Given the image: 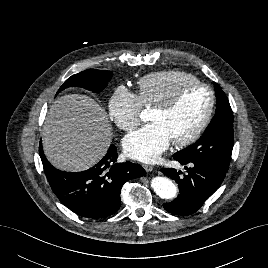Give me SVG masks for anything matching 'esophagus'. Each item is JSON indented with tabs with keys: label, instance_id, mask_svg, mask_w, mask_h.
Listing matches in <instances>:
<instances>
[{
	"label": "esophagus",
	"instance_id": "esophagus-1",
	"mask_svg": "<svg viewBox=\"0 0 268 268\" xmlns=\"http://www.w3.org/2000/svg\"><path fill=\"white\" fill-rule=\"evenodd\" d=\"M143 167L146 170V172H151L154 170V167L151 165L144 164Z\"/></svg>",
	"mask_w": 268,
	"mask_h": 268
}]
</instances>
